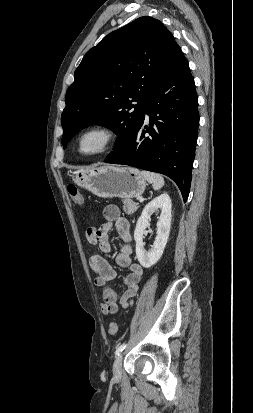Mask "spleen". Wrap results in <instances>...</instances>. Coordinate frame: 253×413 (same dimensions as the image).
I'll return each mask as SVG.
<instances>
[{
  "instance_id": "3e777b00",
  "label": "spleen",
  "mask_w": 253,
  "mask_h": 413,
  "mask_svg": "<svg viewBox=\"0 0 253 413\" xmlns=\"http://www.w3.org/2000/svg\"><path fill=\"white\" fill-rule=\"evenodd\" d=\"M142 176L153 186L154 190H159L164 185V179L161 175L143 170Z\"/></svg>"
}]
</instances>
